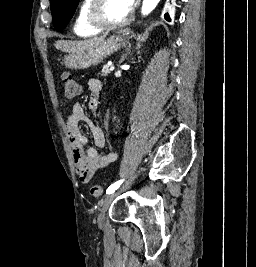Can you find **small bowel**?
I'll list each match as a JSON object with an SVG mask.
<instances>
[{"instance_id": "small-bowel-1", "label": "small bowel", "mask_w": 256, "mask_h": 267, "mask_svg": "<svg viewBox=\"0 0 256 267\" xmlns=\"http://www.w3.org/2000/svg\"><path fill=\"white\" fill-rule=\"evenodd\" d=\"M88 106L92 112L98 108L102 83L99 79H90ZM85 122L90 130L94 146L89 145L88 137L79 128V122ZM65 131L71 146L75 171L83 183H88L93 175L117 160V153L101 151L106 147V138L101 127L86 115L81 104L73 105L65 122Z\"/></svg>"}]
</instances>
